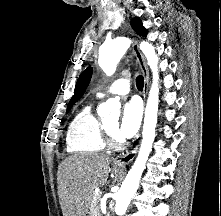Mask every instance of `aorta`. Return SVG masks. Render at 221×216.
<instances>
[{"instance_id":"obj_1","label":"aorta","mask_w":221,"mask_h":216,"mask_svg":"<svg viewBox=\"0 0 221 216\" xmlns=\"http://www.w3.org/2000/svg\"><path fill=\"white\" fill-rule=\"evenodd\" d=\"M130 44L131 40L127 37H117L102 44L99 49L98 63L106 75L111 76L115 73L118 62L126 53ZM140 49L145 55L148 65L151 68L153 82L145 108L142 132L143 139L138 156L128 172L120 190L115 194V214L117 216H122L125 214L132 197L139 187L140 179L155 139V128L157 124L159 105V59L152 44L143 41L140 44ZM119 110V101L116 99H108L99 106L98 115L100 117H108L111 114H119Z\"/></svg>"}]
</instances>
